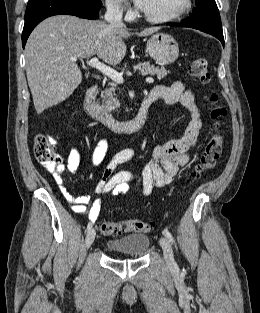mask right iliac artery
<instances>
[{"label": "right iliac artery", "instance_id": "right-iliac-artery-1", "mask_svg": "<svg viewBox=\"0 0 260 313\" xmlns=\"http://www.w3.org/2000/svg\"><path fill=\"white\" fill-rule=\"evenodd\" d=\"M90 228H92V224H91V223H88V225H87V230H89Z\"/></svg>", "mask_w": 260, "mask_h": 313}]
</instances>
